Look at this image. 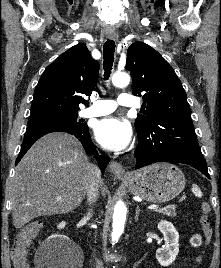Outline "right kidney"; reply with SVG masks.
<instances>
[{
  "label": "right kidney",
  "mask_w": 221,
  "mask_h": 268,
  "mask_svg": "<svg viewBox=\"0 0 221 268\" xmlns=\"http://www.w3.org/2000/svg\"><path fill=\"white\" fill-rule=\"evenodd\" d=\"M66 223L65 222H61L59 223L58 225V229H63L65 227ZM57 238H60V239H67L66 236H62V235H52L49 237V239H57Z\"/></svg>",
  "instance_id": "right-kidney-1"
}]
</instances>
